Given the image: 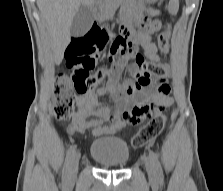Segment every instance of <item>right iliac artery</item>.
Instances as JSON below:
<instances>
[{
    "instance_id": "obj_1",
    "label": "right iliac artery",
    "mask_w": 223,
    "mask_h": 191,
    "mask_svg": "<svg viewBox=\"0 0 223 191\" xmlns=\"http://www.w3.org/2000/svg\"><path fill=\"white\" fill-rule=\"evenodd\" d=\"M75 150H76L75 145H71L67 150L64 168H63V178L65 180H67L69 178L71 162H72Z\"/></svg>"
}]
</instances>
